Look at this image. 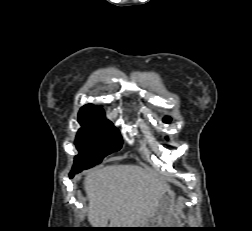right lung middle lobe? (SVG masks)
<instances>
[{
    "instance_id": "right-lung-middle-lobe-1",
    "label": "right lung middle lobe",
    "mask_w": 252,
    "mask_h": 231,
    "mask_svg": "<svg viewBox=\"0 0 252 231\" xmlns=\"http://www.w3.org/2000/svg\"><path fill=\"white\" fill-rule=\"evenodd\" d=\"M81 125L75 145L79 154L75 157L72 170L82 171L99 164L103 158L118 151L123 143L119 130L104 114L78 115Z\"/></svg>"
}]
</instances>
